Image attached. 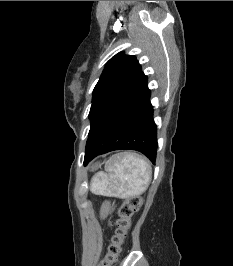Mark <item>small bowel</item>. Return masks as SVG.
Instances as JSON below:
<instances>
[{
  "instance_id": "small-bowel-1",
  "label": "small bowel",
  "mask_w": 233,
  "mask_h": 266,
  "mask_svg": "<svg viewBox=\"0 0 233 266\" xmlns=\"http://www.w3.org/2000/svg\"><path fill=\"white\" fill-rule=\"evenodd\" d=\"M108 211H109V208L108 207H104L103 213L106 214V213H108Z\"/></svg>"
}]
</instances>
